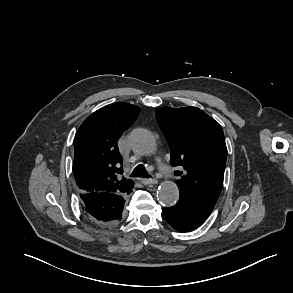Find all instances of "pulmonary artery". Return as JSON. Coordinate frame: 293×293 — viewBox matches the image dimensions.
Here are the masks:
<instances>
[{
	"instance_id": "1",
	"label": "pulmonary artery",
	"mask_w": 293,
	"mask_h": 293,
	"mask_svg": "<svg viewBox=\"0 0 293 293\" xmlns=\"http://www.w3.org/2000/svg\"><path fill=\"white\" fill-rule=\"evenodd\" d=\"M169 172V169L167 167L161 168V174L165 177H167V173Z\"/></svg>"
}]
</instances>
